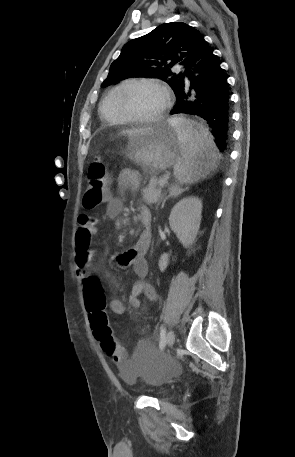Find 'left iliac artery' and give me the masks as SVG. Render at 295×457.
I'll return each instance as SVG.
<instances>
[{"instance_id":"1","label":"left iliac artery","mask_w":295,"mask_h":457,"mask_svg":"<svg viewBox=\"0 0 295 457\" xmlns=\"http://www.w3.org/2000/svg\"><path fill=\"white\" fill-rule=\"evenodd\" d=\"M166 343V329L161 326L160 327V343H159V348L163 349Z\"/></svg>"}]
</instances>
